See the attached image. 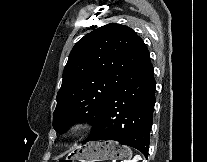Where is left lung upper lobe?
I'll return each instance as SVG.
<instances>
[{
  "instance_id": "1",
  "label": "left lung upper lobe",
  "mask_w": 207,
  "mask_h": 162,
  "mask_svg": "<svg viewBox=\"0 0 207 162\" xmlns=\"http://www.w3.org/2000/svg\"><path fill=\"white\" fill-rule=\"evenodd\" d=\"M149 53L128 26L110 23L81 38L64 68L53 127L65 132L78 121L92 124L116 89Z\"/></svg>"
}]
</instances>
